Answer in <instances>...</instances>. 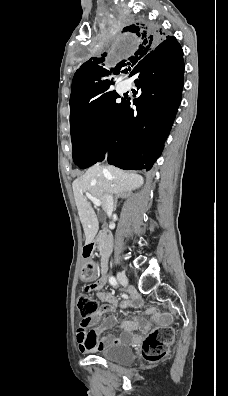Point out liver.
Listing matches in <instances>:
<instances>
[{
	"label": "liver",
	"instance_id": "liver-1",
	"mask_svg": "<svg viewBox=\"0 0 228 396\" xmlns=\"http://www.w3.org/2000/svg\"><path fill=\"white\" fill-rule=\"evenodd\" d=\"M144 182L142 176L129 173L114 166H91L80 178L74 180L72 187L75 203L82 223L85 243H90L97 231L98 220L84 193L88 192L101 201L105 210L106 194H122L139 188ZM106 211V210H105Z\"/></svg>",
	"mask_w": 228,
	"mask_h": 396
}]
</instances>
